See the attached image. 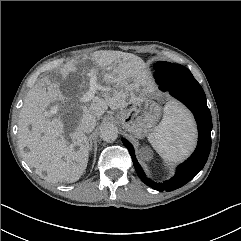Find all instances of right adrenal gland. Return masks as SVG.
Instances as JSON below:
<instances>
[{"label":"right adrenal gland","mask_w":241,"mask_h":241,"mask_svg":"<svg viewBox=\"0 0 241 241\" xmlns=\"http://www.w3.org/2000/svg\"><path fill=\"white\" fill-rule=\"evenodd\" d=\"M88 141H89V151H91L92 150V139H91V137H88Z\"/></svg>","instance_id":"right-adrenal-gland-1"}]
</instances>
